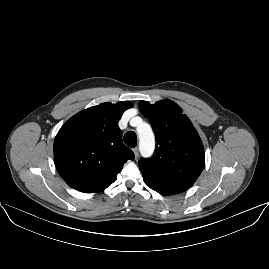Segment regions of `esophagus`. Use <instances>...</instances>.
I'll return each mask as SVG.
<instances>
[{"instance_id":"obj_1","label":"esophagus","mask_w":269,"mask_h":269,"mask_svg":"<svg viewBox=\"0 0 269 269\" xmlns=\"http://www.w3.org/2000/svg\"><path fill=\"white\" fill-rule=\"evenodd\" d=\"M133 152L135 154V159L137 160V158L139 157V150H138V148H134L133 149Z\"/></svg>"}]
</instances>
